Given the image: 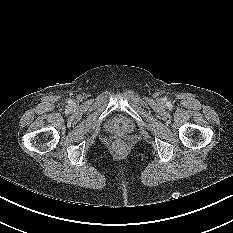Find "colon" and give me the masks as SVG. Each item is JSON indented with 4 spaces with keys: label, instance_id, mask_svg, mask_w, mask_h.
<instances>
[{
    "label": "colon",
    "instance_id": "colon-1",
    "mask_svg": "<svg viewBox=\"0 0 233 233\" xmlns=\"http://www.w3.org/2000/svg\"><path fill=\"white\" fill-rule=\"evenodd\" d=\"M115 145H116V147H119V146H120V144H119V143H116Z\"/></svg>",
    "mask_w": 233,
    "mask_h": 233
}]
</instances>
